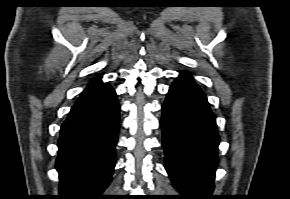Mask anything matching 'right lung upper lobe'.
<instances>
[{
	"mask_svg": "<svg viewBox=\"0 0 290 199\" xmlns=\"http://www.w3.org/2000/svg\"><path fill=\"white\" fill-rule=\"evenodd\" d=\"M98 82H100V79H99V78H96V79L92 80V81L88 84V86L93 85V84H96V83H98Z\"/></svg>",
	"mask_w": 290,
	"mask_h": 199,
	"instance_id": "cb5924a9",
	"label": "right lung upper lobe"
}]
</instances>
